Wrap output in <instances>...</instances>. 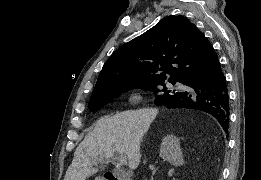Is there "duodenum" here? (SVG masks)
<instances>
[{"instance_id": "obj_1", "label": "duodenum", "mask_w": 261, "mask_h": 180, "mask_svg": "<svg viewBox=\"0 0 261 180\" xmlns=\"http://www.w3.org/2000/svg\"><path fill=\"white\" fill-rule=\"evenodd\" d=\"M104 180H128V177H122V173H105Z\"/></svg>"}]
</instances>
